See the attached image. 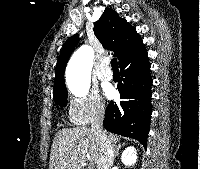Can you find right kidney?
I'll use <instances>...</instances> for the list:
<instances>
[{
	"label": "right kidney",
	"mask_w": 200,
	"mask_h": 169,
	"mask_svg": "<svg viewBox=\"0 0 200 169\" xmlns=\"http://www.w3.org/2000/svg\"><path fill=\"white\" fill-rule=\"evenodd\" d=\"M121 161L125 166H132L137 161V152L133 146L127 147L121 156Z\"/></svg>",
	"instance_id": "right-kidney-1"
}]
</instances>
